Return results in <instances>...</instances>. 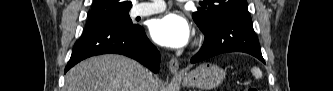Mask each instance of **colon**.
<instances>
[{
  "mask_svg": "<svg viewBox=\"0 0 333 91\" xmlns=\"http://www.w3.org/2000/svg\"><path fill=\"white\" fill-rule=\"evenodd\" d=\"M246 91H257V88L255 87H248Z\"/></svg>",
  "mask_w": 333,
  "mask_h": 91,
  "instance_id": "5ec220e1",
  "label": "colon"
}]
</instances>
